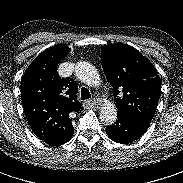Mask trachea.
<instances>
[{
  "label": "trachea",
  "mask_w": 183,
  "mask_h": 183,
  "mask_svg": "<svg viewBox=\"0 0 183 183\" xmlns=\"http://www.w3.org/2000/svg\"><path fill=\"white\" fill-rule=\"evenodd\" d=\"M91 98L89 90L85 87L81 88V100H87Z\"/></svg>",
  "instance_id": "obj_1"
}]
</instances>
